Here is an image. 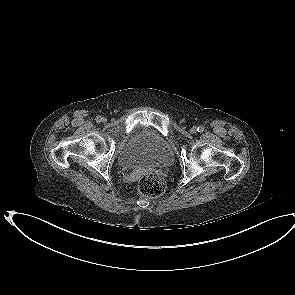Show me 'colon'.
<instances>
[{"mask_svg":"<svg viewBox=\"0 0 295 295\" xmlns=\"http://www.w3.org/2000/svg\"><path fill=\"white\" fill-rule=\"evenodd\" d=\"M137 191L145 197H159L165 191L164 179L155 173L145 174L138 182Z\"/></svg>","mask_w":295,"mask_h":295,"instance_id":"5ec220e1","label":"colon"}]
</instances>
